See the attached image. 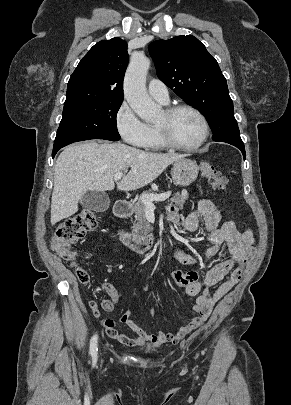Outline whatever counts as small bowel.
<instances>
[{
  "instance_id": "small-bowel-1",
  "label": "small bowel",
  "mask_w": 291,
  "mask_h": 405,
  "mask_svg": "<svg viewBox=\"0 0 291 405\" xmlns=\"http://www.w3.org/2000/svg\"><path fill=\"white\" fill-rule=\"evenodd\" d=\"M169 217L173 221L179 220L175 209L170 210ZM201 217L208 231V236L205 240V256L210 257L214 255L218 251L219 246L226 243L231 254V259L213 266L205 273L201 280L186 286L188 296L194 297L198 295L196 302L192 305V310L198 315L176 333L159 331L156 334H151L140 328L133 320L132 312L127 311L121 316L120 322L128 326L135 335L127 336L118 332L114 321L107 319L103 320L102 324L109 337L127 346L144 343H151L153 345L178 343L187 334L200 328L206 322L214 304L240 280L244 265L254 255V238L251 231L240 232L233 222H225L220 225L221 214L217 206L208 199H200L194 210L182 220L183 230L186 233L194 232L198 228ZM175 258L182 265H192L195 262V258L183 248L176 249ZM221 281L223 282L220 287L213 295H210L209 288ZM105 291L108 298L103 302V308L105 311L111 312L119 300V295L116 288L111 284H106ZM89 306L93 315L97 318L100 317V311L96 302L91 301ZM151 313L164 319L155 307L151 308Z\"/></svg>"
}]
</instances>
